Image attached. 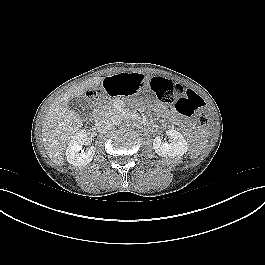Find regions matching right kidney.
Wrapping results in <instances>:
<instances>
[{
  "label": "right kidney",
  "mask_w": 265,
  "mask_h": 265,
  "mask_svg": "<svg viewBox=\"0 0 265 265\" xmlns=\"http://www.w3.org/2000/svg\"><path fill=\"white\" fill-rule=\"evenodd\" d=\"M86 141L87 134L85 130L79 131L72 137L65 153L68 163L74 166H85L92 161L95 154L94 146L87 148L85 152L81 151Z\"/></svg>",
  "instance_id": "ca27d5eb"
}]
</instances>
